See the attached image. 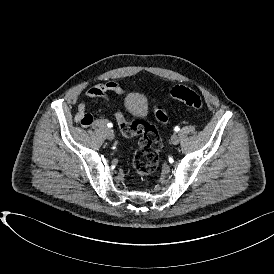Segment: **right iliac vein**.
<instances>
[{"label":"right iliac vein","mask_w":274,"mask_h":274,"mask_svg":"<svg viewBox=\"0 0 274 274\" xmlns=\"http://www.w3.org/2000/svg\"><path fill=\"white\" fill-rule=\"evenodd\" d=\"M106 135H107V138L109 140H113L115 138V134H114V131L112 129H108L106 131Z\"/></svg>","instance_id":"63e3f726"}]
</instances>
